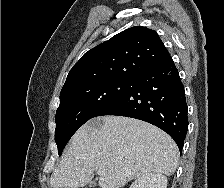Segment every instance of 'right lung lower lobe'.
<instances>
[{
    "mask_svg": "<svg viewBox=\"0 0 224 188\" xmlns=\"http://www.w3.org/2000/svg\"><path fill=\"white\" fill-rule=\"evenodd\" d=\"M125 95L102 115L132 117L167 132L180 152L188 130L184 86L170 56L135 76Z\"/></svg>",
    "mask_w": 224,
    "mask_h": 188,
    "instance_id": "right-lung-lower-lobe-1",
    "label": "right lung lower lobe"
}]
</instances>
